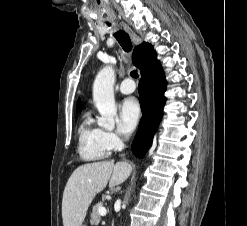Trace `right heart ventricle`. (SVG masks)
<instances>
[{
	"mask_svg": "<svg viewBox=\"0 0 247 226\" xmlns=\"http://www.w3.org/2000/svg\"><path fill=\"white\" fill-rule=\"evenodd\" d=\"M103 130L98 127L89 114L83 118L78 129V152L84 161H97L109 154Z\"/></svg>",
	"mask_w": 247,
	"mask_h": 226,
	"instance_id": "obj_1",
	"label": "right heart ventricle"
}]
</instances>
